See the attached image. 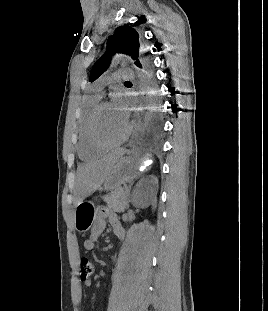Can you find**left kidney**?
<instances>
[{
	"label": "left kidney",
	"instance_id": "obj_1",
	"mask_svg": "<svg viewBox=\"0 0 268 311\" xmlns=\"http://www.w3.org/2000/svg\"><path fill=\"white\" fill-rule=\"evenodd\" d=\"M157 184L158 179L153 175L141 179L133 192V206L136 208H146L152 205L153 208H156Z\"/></svg>",
	"mask_w": 268,
	"mask_h": 311
}]
</instances>
